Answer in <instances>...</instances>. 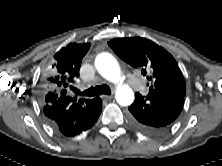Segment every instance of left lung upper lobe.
<instances>
[{
  "label": "left lung upper lobe",
  "instance_id": "1",
  "mask_svg": "<svg viewBox=\"0 0 222 166\" xmlns=\"http://www.w3.org/2000/svg\"><path fill=\"white\" fill-rule=\"evenodd\" d=\"M125 62L153 81L148 95L160 92L186 94V84L176 60L162 47L141 37L115 38L108 42Z\"/></svg>",
  "mask_w": 222,
  "mask_h": 166
}]
</instances>
